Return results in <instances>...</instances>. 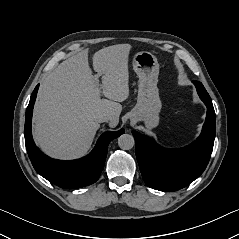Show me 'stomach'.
I'll use <instances>...</instances> for the list:
<instances>
[{"mask_svg": "<svg viewBox=\"0 0 239 239\" xmlns=\"http://www.w3.org/2000/svg\"><path fill=\"white\" fill-rule=\"evenodd\" d=\"M133 68L139 77L137 104L130 112L133 122L144 121L151 129L159 123L162 103L157 88L159 64L150 52L142 51L134 55Z\"/></svg>", "mask_w": 239, "mask_h": 239, "instance_id": "0dacf381", "label": "stomach"}]
</instances>
